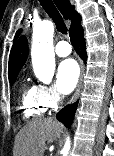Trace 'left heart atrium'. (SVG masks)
<instances>
[{
  "label": "left heart atrium",
  "instance_id": "left-heart-atrium-1",
  "mask_svg": "<svg viewBox=\"0 0 114 156\" xmlns=\"http://www.w3.org/2000/svg\"><path fill=\"white\" fill-rule=\"evenodd\" d=\"M79 78V66L74 59L62 61L57 69V88L63 94L70 93Z\"/></svg>",
  "mask_w": 114,
  "mask_h": 156
}]
</instances>
